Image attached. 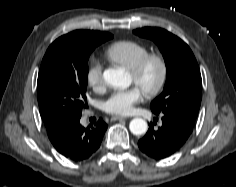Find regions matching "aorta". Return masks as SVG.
<instances>
[{
  "label": "aorta",
  "mask_w": 236,
  "mask_h": 187,
  "mask_svg": "<svg viewBox=\"0 0 236 187\" xmlns=\"http://www.w3.org/2000/svg\"><path fill=\"white\" fill-rule=\"evenodd\" d=\"M104 81L114 88L125 89L130 86V76L121 68L107 69L103 73ZM129 129L134 135H142L147 132V122L142 118H134L129 124Z\"/></svg>",
  "instance_id": "1"
}]
</instances>
